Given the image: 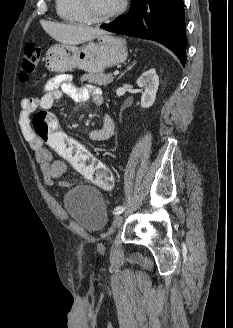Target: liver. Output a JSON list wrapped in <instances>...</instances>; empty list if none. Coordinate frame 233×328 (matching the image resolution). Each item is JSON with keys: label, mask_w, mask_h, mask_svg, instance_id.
Here are the masks:
<instances>
[{"label": "liver", "mask_w": 233, "mask_h": 328, "mask_svg": "<svg viewBox=\"0 0 233 328\" xmlns=\"http://www.w3.org/2000/svg\"><path fill=\"white\" fill-rule=\"evenodd\" d=\"M41 25L45 32L53 39L62 44L77 45L98 38L105 31L85 25H70L42 21Z\"/></svg>", "instance_id": "liver-1"}]
</instances>
